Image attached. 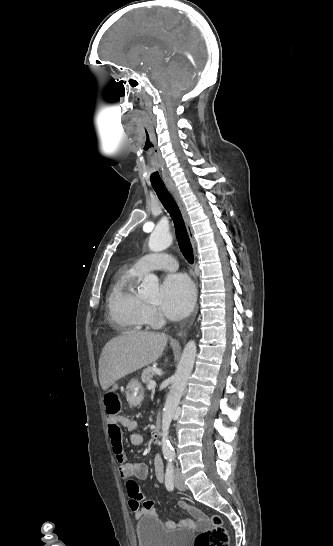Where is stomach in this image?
<instances>
[{
  "label": "stomach",
  "instance_id": "obj_1",
  "mask_svg": "<svg viewBox=\"0 0 333 546\" xmlns=\"http://www.w3.org/2000/svg\"><path fill=\"white\" fill-rule=\"evenodd\" d=\"M126 399L127 402L133 406L140 404L143 399V387L137 380H131L126 386Z\"/></svg>",
  "mask_w": 333,
  "mask_h": 546
}]
</instances>
